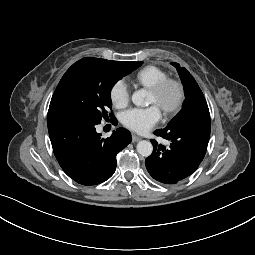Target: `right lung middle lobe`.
<instances>
[{
  "label": "right lung middle lobe",
  "instance_id": "right-lung-middle-lobe-1",
  "mask_svg": "<svg viewBox=\"0 0 255 255\" xmlns=\"http://www.w3.org/2000/svg\"><path fill=\"white\" fill-rule=\"evenodd\" d=\"M143 62L87 59L74 63L61 78L50 102L48 117L76 116L101 122L111 109L115 83ZM110 118L114 116L109 114Z\"/></svg>",
  "mask_w": 255,
  "mask_h": 255
}]
</instances>
